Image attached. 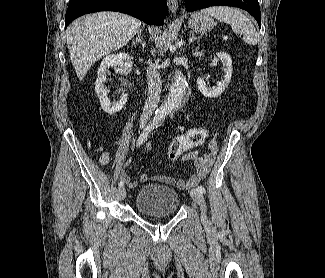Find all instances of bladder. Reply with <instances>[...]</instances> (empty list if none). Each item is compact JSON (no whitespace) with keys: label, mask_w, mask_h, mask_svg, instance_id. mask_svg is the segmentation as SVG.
Instances as JSON below:
<instances>
[{"label":"bladder","mask_w":325,"mask_h":278,"mask_svg":"<svg viewBox=\"0 0 325 278\" xmlns=\"http://www.w3.org/2000/svg\"><path fill=\"white\" fill-rule=\"evenodd\" d=\"M179 193L170 186L158 183L143 185L137 192L135 208L150 216L171 215L178 211Z\"/></svg>","instance_id":"obj_1"}]
</instances>
